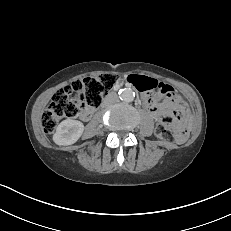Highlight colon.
Wrapping results in <instances>:
<instances>
[{
    "label": "colon",
    "instance_id": "obj_1",
    "mask_svg": "<svg viewBox=\"0 0 231 231\" xmlns=\"http://www.w3.org/2000/svg\"><path fill=\"white\" fill-rule=\"evenodd\" d=\"M119 77L114 73H103L75 80L69 85L59 90L51 99L42 116V129L45 133L54 131L57 124L66 118H72L86 107L96 108L103 101L104 97L118 82ZM132 84L139 91H150L158 88L160 94L169 96L172 87L160 83L157 86L149 85L146 79L134 77ZM175 117L179 124H175L172 119L166 118L157 126V135L164 141H182L187 136V129L182 124L187 118V110L180 105L175 110Z\"/></svg>",
    "mask_w": 231,
    "mask_h": 231
}]
</instances>
